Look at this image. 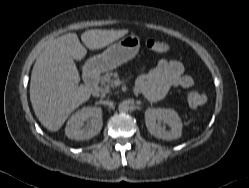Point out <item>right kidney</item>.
I'll list each match as a JSON object with an SVG mask.
<instances>
[{
    "label": "right kidney",
    "mask_w": 249,
    "mask_h": 188,
    "mask_svg": "<svg viewBox=\"0 0 249 188\" xmlns=\"http://www.w3.org/2000/svg\"><path fill=\"white\" fill-rule=\"evenodd\" d=\"M87 119H91L90 127L82 128ZM102 126V109L84 107L70 117L66 124L65 134L73 140H87L96 136L101 131Z\"/></svg>",
    "instance_id": "1"
}]
</instances>
